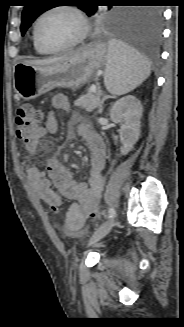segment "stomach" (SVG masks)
Here are the masks:
<instances>
[{
	"mask_svg": "<svg viewBox=\"0 0 184 327\" xmlns=\"http://www.w3.org/2000/svg\"><path fill=\"white\" fill-rule=\"evenodd\" d=\"M107 53L108 46L97 42L59 63H17L13 69L14 90L24 100L35 99L55 87L77 90L103 69Z\"/></svg>",
	"mask_w": 184,
	"mask_h": 327,
	"instance_id": "0dacf381",
	"label": "stomach"
}]
</instances>
